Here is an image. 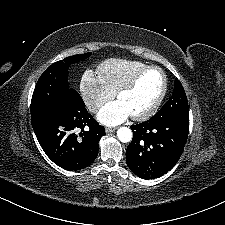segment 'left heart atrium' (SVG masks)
<instances>
[{"mask_svg": "<svg viewBox=\"0 0 225 225\" xmlns=\"http://www.w3.org/2000/svg\"><path fill=\"white\" fill-rule=\"evenodd\" d=\"M130 116L123 104L117 100L107 103L98 113V120L108 126L120 124Z\"/></svg>", "mask_w": 225, "mask_h": 225, "instance_id": "obj_1", "label": "left heart atrium"}]
</instances>
